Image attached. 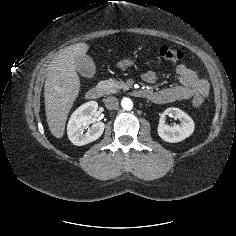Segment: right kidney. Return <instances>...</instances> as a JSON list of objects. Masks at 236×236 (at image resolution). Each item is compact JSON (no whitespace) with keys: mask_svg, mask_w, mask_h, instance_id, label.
I'll list each match as a JSON object with an SVG mask.
<instances>
[{"mask_svg":"<svg viewBox=\"0 0 236 236\" xmlns=\"http://www.w3.org/2000/svg\"><path fill=\"white\" fill-rule=\"evenodd\" d=\"M97 109L98 103L96 101H89L77 108L71 115L67 125V134L69 140L74 145H86L97 140L102 135L105 124L95 121L94 115ZM90 123L93 124L84 132L83 128Z\"/></svg>","mask_w":236,"mask_h":236,"instance_id":"1","label":"right kidney"}]
</instances>
